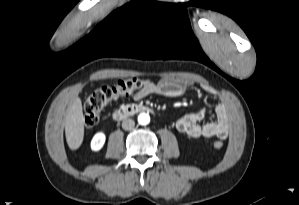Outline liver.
I'll use <instances>...</instances> for the list:
<instances>
[{
    "label": "liver",
    "instance_id": "6515ba94",
    "mask_svg": "<svg viewBox=\"0 0 299 205\" xmlns=\"http://www.w3.org/2000/svg\"><path fill=\"white\" fill-rule=\"evenodd\" d=\"M65 135L71 150H76L81 146L84 137V116L79 97L73 100L65 117Z\"/></svg>",
    "mask_w": 299,
    "mask_h": 205
}]
</instances>
